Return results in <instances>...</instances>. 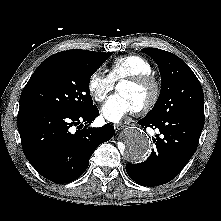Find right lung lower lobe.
<instances>
[{
    "instance_id": "obj_1",
    "label": "right lung lower lobe",
    "mask_w": 221,
    "mask_h": 221,
    "mask_svg": "<svg viewBox=\"0 0 221 221\" xmlns=\"http://www.w3.org/2000/svg\"><path fill=\"white\" fill-rule=\"evenodd\" d=\"M99 115L95 106L78 114L56 108L21 105L17 118L23 152L31 165L46 179L69 183L80 177L98 145L109 141L114 127L106 124L87 128ZM72 132V126L82 128Z\"/></svg>"
}]
</instances>
